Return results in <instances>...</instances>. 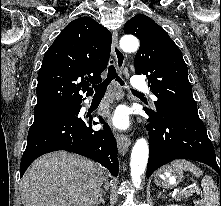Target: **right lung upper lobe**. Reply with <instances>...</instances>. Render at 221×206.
<instances>
[{"instance_id": "obj_1", "label": "right lung upper lobe", "mask_w": 221, "mask_h": 206, "mask_svg": "<svg viewBox=\"0 0 221 206\" xmlns=\"http://www.w3.org/2000/svg\"><path fill=\"white\" fill-rule=\"evenodd\" d=\"M111 41V33L92 18L70 22L44 55L35 107L80 104L82 93L92 95L88 86L102 81Z\"/></svg>"}]
</instances>
